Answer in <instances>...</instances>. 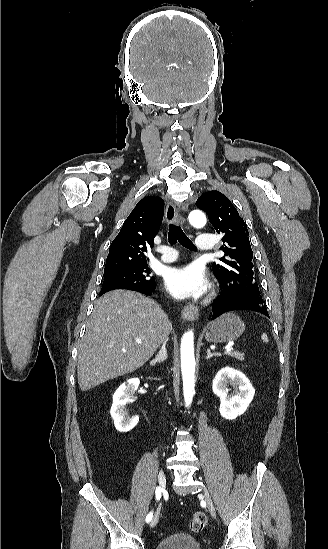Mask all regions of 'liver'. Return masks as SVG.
<instances>
[{
    "label": "liver",
    "instance_id": "6515ba94",
    "mask_svg": "<svg viewBox=\"0 0 328 549\" xmlns=\"http://www.w3.org/2000/svg\"><path fill=\"white\" fill-rule=\"evenodd\" d=\"M172 325L160 305L135 291H111L94 303L78 351V385L90 391L143 367ZM136 339H141L138 345Z\"/></svg>",
    "mask_w": 328,
    "mask_h": 549
}]
</instances>
